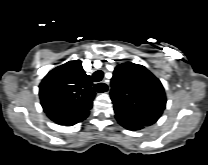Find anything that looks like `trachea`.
Here are the masks:
<instances>
[{
	"label": "trachea",
	"instance_id": "1",
	"mask_svg": "<svg viewBox=\"0 0 208 165\" xmlns=\"http://www.w3.org/2000/svg\"><path fill=\"white\" fill-rule=\"evenodd\" d=\"M103 76H104V73L102 71L98 70V71L93 73L92 77H93V80L95 82H99V81L102 80ZM95 90L97 92H99V93H102V92L106 91V87L102 86L101 83L100 84H96L95 85Z\"/></svg>",
	"mask_w": 208,
	"mask_h": 165
}]
</instances>
